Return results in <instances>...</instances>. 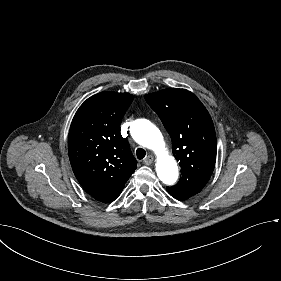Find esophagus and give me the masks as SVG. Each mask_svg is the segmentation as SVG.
I'll return each mask as SVG.
<instances>
[{
    "instance_id": "34e87169",
    "label": "esophagus",
    "mask_w": 281,
    "mask_h": 281,
    "mask_svg": "<svg viewBox=\"0 0 281 281\" xmlns=\"http://www.w3.org/2000/svg\"><path fill=\"white\" fill-rule=\"evenodd\" d=\"M153 161H154V157H153L152 155H148V156L144 159L143 163H144L145 165H150V164L153 163Z\"/></svg>"
}]
</instances>
